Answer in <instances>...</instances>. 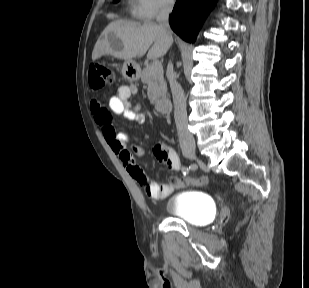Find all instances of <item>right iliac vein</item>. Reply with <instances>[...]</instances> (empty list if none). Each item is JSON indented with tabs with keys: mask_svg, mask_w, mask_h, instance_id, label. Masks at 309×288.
Listing matches in <instances>:
<instances>
[{
	"mask_svg": "<svg viewBox=\"0 0 309 288\" xmlns=\"http://www.w3.org/2000/svg\"><path fill=\"white\" fill-rule=\"evenodd\" d=\"M183 152H184V155L187 157H194L196 153L195 148H192V147L184 148Z\"/></svg>",
	"mask_w": 309,
	"mask_h": 288,
	"instance_id": "right-iliac-vein-1",
	"label": "right iliac vein"
}]
</instances>
